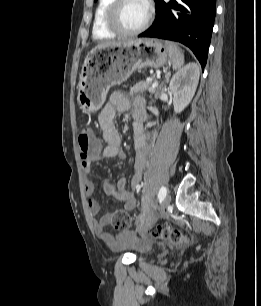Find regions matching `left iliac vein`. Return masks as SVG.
Listing matches in <instances>:
<instances>
[{"instance_id": "4c4485c4", "label": "left iliac vein", "mask_w": 261, "mask_h": 306, "mask_svg": "<svg viewBox=\"0 0 261 306\" xmlns=\"http://www.w3.org/2000/svg\"><path fill=\"white\" fill-rule=\"evenodd\" d=\"M170 202H171V195L167 194L163 198L161 204L159 205L157 209V214L162 213L169 206ZM157 214L153 215L152 218L147 221L146 225H150L151 223H153L157 217Z\"/></svg>"}]
</instances>
